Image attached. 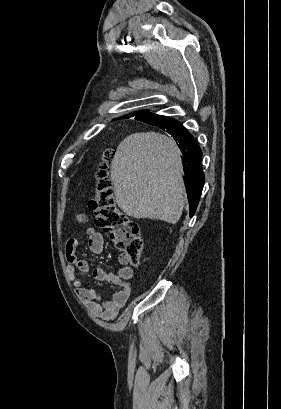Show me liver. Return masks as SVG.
<instances>
[{
    "label": "liver",
    "instance_id": "1",
    "mask_svg": "<svg viewBox=\"0 0 281 409\" xmlns=\"http://www.w3.org/2000/svg\"><path fill=\"white\" fill-rule=\"evenodd\" d=\"M180 150L160 132H134L118 144L111 164L117 205L134 219L175 225L185 205Z\"/></svg>",
    "mask_w": 281,
    "mask_h": 409
}]
</instances>
